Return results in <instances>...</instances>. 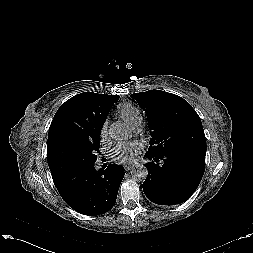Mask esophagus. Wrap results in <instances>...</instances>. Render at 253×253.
<instances>
[{"label": "esophagus", "mask_w": 253, "mask_h": 253, "mask_svg": "<svg viewBox=\"0 0 253 253\" xmlns=\"http://www.w3.org/2000/svg\"><path fill=\"white\" fill-rule=\"evenodd\" d=\"M133 167H134V165H132V164H125V165H124V169H125L126 171L132 170Z\"/></svg>", "instance_id": "34e87169"}]
</instances>
